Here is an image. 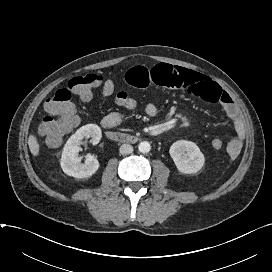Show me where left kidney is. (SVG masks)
I'll use <instances>...</instances> for the list:
<instances>
[{
	"instance_id": "obj_1",
	"label": "left kidney",
	"mask_w": 272,
	"mask_h": 272,
	"mask_svg": "<svg viewBox=\"0 0 272 272\" xmlns=\"http://www.w3.org/2000/svg\"><path fill=\"white\" fill-rule=\"evenodd\" d=\"M177 169L184 174L197 173L202 169L205 158L199 147L191 141L174 142L169 150Z\"/></svg>"
}]
</instances>
